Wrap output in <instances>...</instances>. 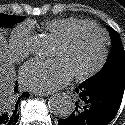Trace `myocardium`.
<instances>
[{"label":"myocardium","mask_w":125,"mask_h":125,"mask_svg":"<svg viewBox=\"0 0 125 125\" xmlns=\"http://www.w3.org/2000/svg\"><path fill=\"white\" fill-rule=\"evenodd\" d=\"M86 27L93 28L101 34L102 50H101V54L99 56L98 61L96 62V64L93 67H91L90 69H88L85 72L73 74V77L79 81H83V80H86V79L92 77L93 75L98 73L103 68V66L107 60L108 54H109L110 38H109L108 32L102 26L97 24L96 22L85 20V21H82L78 24L71 26L60 37H58L56 39V42L58 44L65 45L71 40V38L74 36V34L78 30H80L82 28H86Z\"/></svg>","instance_id":"myocardium-1"}]
</instances>
